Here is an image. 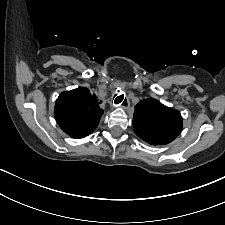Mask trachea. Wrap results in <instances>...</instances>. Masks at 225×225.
I'll return each mask as SVG.
<instances>
[{
  "instance_id": "trachea-1",
  "label": "trachea",
  "mask_w": 225,
  "mask_h": 225,
  "mask_svg": "<svg viewBox=\"0 0 225 225\" xmlns=\"http://www.w3.org/2000/svg\"><path fill=\"white\" fill-rule=\"evenodd\" d=\"M123 99H124V95H123V94L120 95V96H117L116 99H115V103H116V104H119V103H121V102L123 101ZM125 101H126V99H125ZM125 101H124V102H125ZM124 102H123V103H124Z\"/></svg>"
}]
</instances>
